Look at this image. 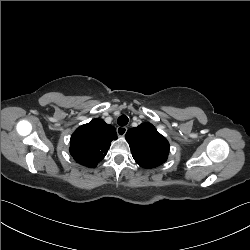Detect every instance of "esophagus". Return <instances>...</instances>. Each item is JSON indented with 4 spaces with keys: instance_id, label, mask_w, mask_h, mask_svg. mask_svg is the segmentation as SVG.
Instances as JSON below:
<instances>
[{
    "instance_id": "34e87169",
    "label": "esophagus",
    "mask_w": 250,
    "mask_h": 250,
    "mask_svg": "<svg viewBox=\"0 0 250 250\" xmlns=\"http://www.w3.org/2000/svg\"><path fill=\"white\" fill-rule=\"evenodd\" d=\"M127 127H125V126H119V127H117V129H116V131H117V134L119 135V136H124L125 134H126V132H127Z\"/></svg>"
}]
</instances>
